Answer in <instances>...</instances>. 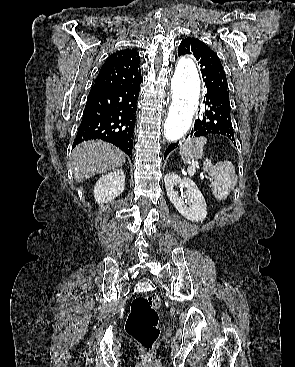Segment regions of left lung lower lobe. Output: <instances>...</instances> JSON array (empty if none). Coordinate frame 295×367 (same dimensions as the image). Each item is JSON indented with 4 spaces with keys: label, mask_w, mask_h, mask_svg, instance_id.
<instances>
[{
    "label": "left lung lower lobe",
    "mask_w": 295,
    "mask_h": 367,
    "mask_svg": "<svg viewBox=\"0 0 295 367\" xmlns=\"http://www.w3.org/2000/svg\"><path fill=\"white\" fill-rule=\"evenodd\" d=\"M204 103L208 106V109H206L201 118L195 121L194 129L187 137L196 138L210 134H219L228 137L235 143L229 92L209 87L204 97ZM178 143L175 142L168 146L164 158L178 147Z\"/></svg>",
    "instance_id": "left-lung-lower-lobe-1"
}]
</instances>
